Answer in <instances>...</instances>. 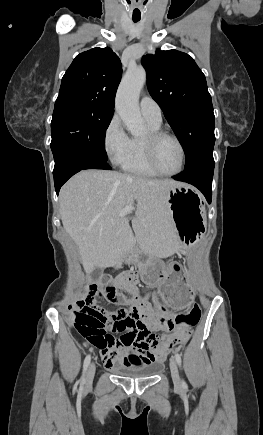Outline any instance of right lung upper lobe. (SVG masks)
Wrapping results in <instances>:
<instances>
[{
	"label": "right lung upper lobe",
	"mask_w": 263,
	"mask_h": 435,
	"mask_svg": "<svg viewBox=\"0 0 263 435\" xmlns=\"http://www.w3.org/2000/svg\"><path fill=\"white\" fill-rule=\"evenodd\" d=\"M121 74L120 59L110 48H93L80 53L62 78L55 107L91 104L114 111Z\"/></svg>",
	"instance_id": "cb5924a9"
}]
</instances>
